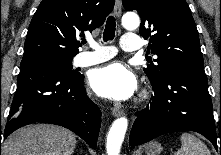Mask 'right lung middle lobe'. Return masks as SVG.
Listing matches in <instances>:
<instances>
[{
	"mask_svg": "<svg viewBox=\"0 0 221 155\" xmlns=\"http://www.w3.org/2000/svg\"><path fill=\"white\" fill-rule=\"evenodd\" d=\"M27 61L45 62L52 64L57 68L61 69L65 74L70 76L79 74L78 72L72 69V63H71L72 57H63L56 54H37V55L23 56L21 64Z\"/></svg>",
	"mask_w": 221,
	"mask_h": 155,
	"instance_id": "obj_1",
	"label": "right lung middle lobe"
}]
</instances>
